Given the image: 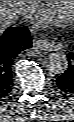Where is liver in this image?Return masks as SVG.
Masks as SVG:
<instances>
[{
    "mask_svg": "<svg viewBox=\"0 0 74 122\" xmlns=\"http://www.w3.org/2000/svg\"><path fill=\"white\" fill-rule=\"evenodd\" d=\"M27 1H0V32L9 27Z\"/></svg>",
    "mask_w": 74,
    "mask_h": 122,
    "instance_id": "liver-1",
    "label": "liver"
}]
</instances>
